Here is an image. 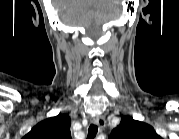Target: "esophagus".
<instances>
[{"label":"esophagus","mask_w":179,"mask_h":139,"mask_svg":"<svg viewBox=\"0 0 179 139\" xmlns=\"http://www.w3.org/2000/svg\"><path fill=\"white\" fill-rule=\"evenodd\" d=\"M92 123L102 129V128H104L106 121L103 116H98L92 120Z\"/></svg>","instance_id":"esophagus-1"}]
</instances>
